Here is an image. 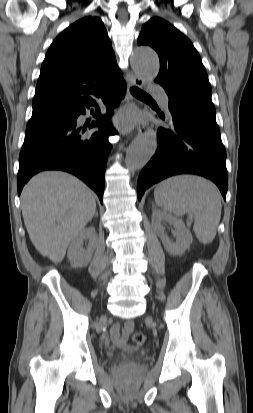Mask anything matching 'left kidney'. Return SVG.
Here are the masks:
<instances>
[{"instance_id":"1","label":"left kidney","mask_w":253,"mask_h":413,"mask_svg":"<svg viewBox=\"0 0 253 413\" xmlns=\"http://www.w3.org/2000/svg\"><path fill=\"white\" fill-rule=\"evenodd\" d=\"M162 221L173 225V235L176 242H172L165 234V229L161 225ZM152 226L161 238L165 250L172 255H182L193 241L190 231L186 228L184 222L174 216L167 214L161 210H154L152 213Z\"/></svg>"}]
</instances>
